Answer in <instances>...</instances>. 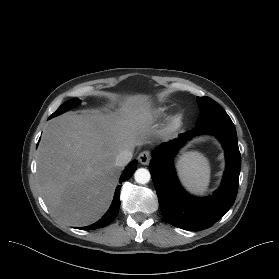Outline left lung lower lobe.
Returning a JSON list of instances; mask_svg holds the SVG:
<instances>
[{"label": "left lung lower lobe", "instance_id": "1", "mask_svg": "<svg viewBox=\"0 0 279 279\" xmlns=\"http://www.w3.org/2000/svg\"><path fill=\"white\" fill-rule=\"evenodd\" d=\"M213 134L222 142L226 170L221 187L210 197L197 198L180 186L173 168V154L178 147L198 134ZM241 158L233 122H212L196 126L177 139L161 144L152 153L149 165L163 218L173 226L200 231L216 223L233 205L237 190Z\"/></svg>", "mask_w": 279, "mask_h": 279}]
</instances>
